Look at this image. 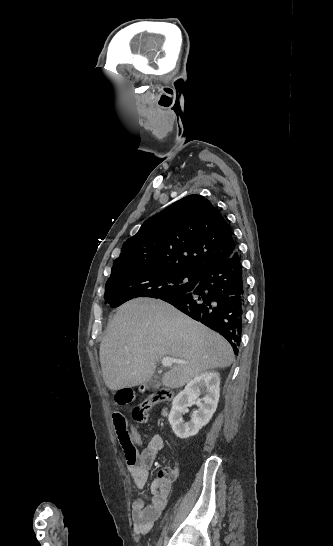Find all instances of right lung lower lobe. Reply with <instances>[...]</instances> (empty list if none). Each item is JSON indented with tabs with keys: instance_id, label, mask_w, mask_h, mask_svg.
<instances>
[{
	"instance_id": "98d812e1",
	"label": "right lung lower lobe",
	"mask_w": 333,
	"mask_h": 546,
	"mask_svg": "<svg viewBox=\"0 0 333 546\" xmlns=\"http://www.w3.org/2000/svg\"><path fill=\"white\" fill-rule=\"evenodd\" d=\"M160 299L220 333L231 344L234 353L238 354L246 296L245 279L237 251L198 274L196 285L190 292Z\"/></svg>"
}]
</instances>
